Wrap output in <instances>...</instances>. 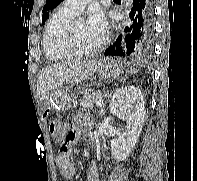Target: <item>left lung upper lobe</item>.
<instances>
[{"mask_svg": "<svg viewBox=\"0 0 197 181\" xmlns=\"http://www.w3.org/2000/svg\"><path fill=\"white\" fill-rule=\"evenodd\" d=\"M62 1L64 0H46V4L43 7V16H42V24L45 23V21L49 17L48 10L54 9L56 6H58Z\"/></svg>", "mask_w": 197, "mask_h": 181, "instance_id": "obj_1", "label": "left lung upper lobe"}]
</instances>
